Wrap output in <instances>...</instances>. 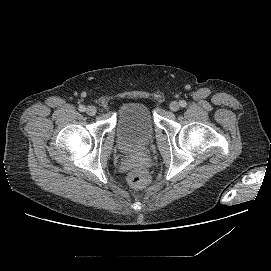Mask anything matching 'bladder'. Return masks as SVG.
<instances>
[{
  "mask_svg": "<svg viewBox=\"0 0 271 271\" xmlns=\"http://www.w3.org/2000/svg\"><path fill=\"white\" fill-rule=\"evenodd\" d=\"M116 132L118 144L124 151L144 149L154 136V120L149 107L141 102L123 104L118 112Z\"/></svg>",
  "mask_w": 271,
  "mask_h": 271,
  "instance_id": "bladder-1",
  "label": "bladder"
}]
</instances>
